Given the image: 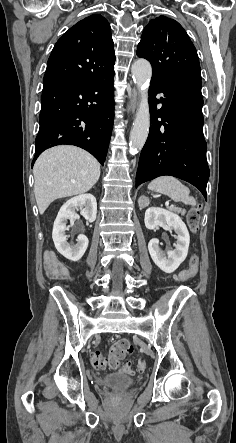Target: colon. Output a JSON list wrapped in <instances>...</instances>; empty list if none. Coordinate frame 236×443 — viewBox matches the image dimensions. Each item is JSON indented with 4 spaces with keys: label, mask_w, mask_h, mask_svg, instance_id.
<instances>
[{
    "label": "colon",
    "mask_w": 236,
    "mask_h": 443,
    "mask_svg": "<svg viewBox=\"0 0 236 443\" xmlns=\"http://www.w3.org/2000/svg\"><path fill=\"white\" fill-rule=\"evenodd\" d=\"M200 221V205H194L190 208L187 214V224L192 232H197ZM199 256L193 253L190 257L189 267L182 271L178 276V281H186L194 277L198 272ZM133 352V346L128 339L122 338L113 342L108 357H104L100 352H94L91 355V363L97 370L104 369H124L130 370L129 363L125 362ZM146 370V364L143 361L138 363V371L144 372Z\"/></svg>",
    "instance_id": "obj_1"
}]
</instances>
